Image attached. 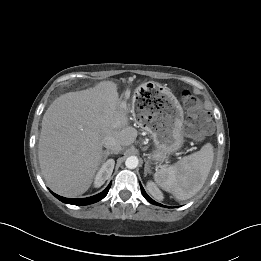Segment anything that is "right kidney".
<instances>
[{"label":"right kidney","instance_id":"obj_1","mask_svg":"<svg viewBox=\"0 0 261 261\" xmlns=\"http://www.w3.org/2000/svg\"><path fill=\"white\" fill-rule=\"evenodd\" d=\"M115 165V161L113 159L107 160L103 165L101 166L100 170L98 171L95 181H94V186L99 188L101 187L106 180H108L111 177V174L113 172Z\"/></svg>","mask_w":261,"mask_h":261}]
</instances>
